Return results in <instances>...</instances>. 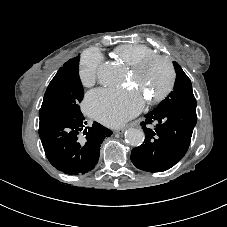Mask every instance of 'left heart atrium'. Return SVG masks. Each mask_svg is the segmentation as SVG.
I'll return each instance as SVG.
<instances>
[{"mask_svg":"<svg viewBox=\"0 0 227 227\" xmlns=\"http://www.w3.org/2000/svg\"><path fill=\"white\" fill-rule=\"evenodd\" d=\"M144 106V98L134 91L97 89L85 100L86 111L102 123L116 127L137 115Z\"/></svg>","mask_w":227,"mask_h":227,"instance_id":"39dd6f15","label":"left heart atrium"}]
</instances>
